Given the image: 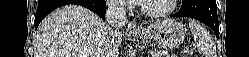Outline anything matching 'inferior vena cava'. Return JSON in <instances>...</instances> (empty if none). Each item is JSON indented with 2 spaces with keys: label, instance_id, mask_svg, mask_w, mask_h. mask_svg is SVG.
I'll use <instances>...</instances> for the list:
<instances>
[{
  "label": "inferior vena cava",
  "instance_id": "inferior-vena-cava-1",
  "mask_svg": "<svg viewBox=\"0 0 249 57\" xmlns=\"http://www.w3.org/2000/svg\"><path fill=\"white\" fill-rule=\"evenodd\" d=\"M106 20L109 25L106 32L107 37L114 41L119 30L126 24V12L120 0H110L107 3Z\"/></svg>",
  "mask_w": 249,
  "mask_h": 57
}]
</instances>
